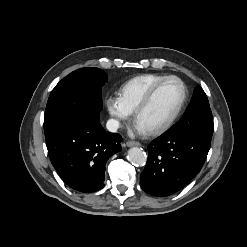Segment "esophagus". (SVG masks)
Wrapping results in <instances>:
<instances>
[{
  "label": "esophagus",
  "mask_w": 247,
  "mask_h": 247,
  "mask_svg": "<svg viewBox=\"0 0 247 247\" xmlns=\"http://www.w3.org/2000/svg\"><path fill=\"white\" fill-rule=\"evenodd\" d=\"M126 145L128 147H131V146H140L141 144L139 142H136V141H128V142H126Z\"/></svg>",
  "instance_id": "1"
}]
</instances>
